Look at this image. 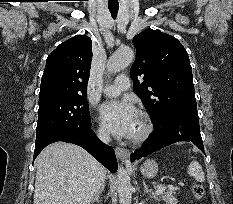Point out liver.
I'll return each mask as SVG.
<instances>
[{"label": "liver", "instance_id": "1", "mask_svg": "<svg viewBox=\"0 0 233 204\" xmlns=\"http://www.w3.org/2000/svg\"><path fill=\"white\" fill-rule=\"evenodd\" d=\"M35 165L34 204H90L107 172L84 149L65 142L48 145Z\"/></svg>", "mask_w": 233, "mask_h": 204}]
</instances>
